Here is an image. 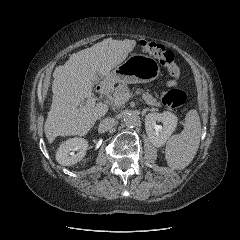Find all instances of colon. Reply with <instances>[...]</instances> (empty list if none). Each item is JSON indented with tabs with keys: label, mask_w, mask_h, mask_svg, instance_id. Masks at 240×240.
<instances>
[{
	"label": "colon",
	"mask_w": 240,
	"mask_h": 240,
	"mask_svg": "<svg viewBox=\"0 0 240 240\" xmlns=\"http://www.w3.org/2000/svg\"><path fill=\"white\" fill-rule=\"evenodd\" d=\"M140 46L143 51L156 57L159 62L168 69L174 80L179 78L180 69L175 63V56L172 51L154 42L141 41ZM186 100L187 94L183 90L177 88L167 91L162 96L163 104L172 108L182 106Z\"/></svg>",
	"instance_id": "1"
}]
</instances>
